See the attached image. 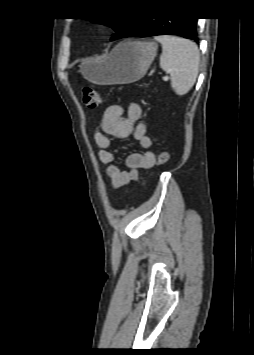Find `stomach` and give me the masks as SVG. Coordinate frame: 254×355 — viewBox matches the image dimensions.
<instances>
[{
    "instance_id": "0dacf381",
    "label": "stomach",
    "mask_w": 254,
    "mask_h": 355,
    "mask_svg": "<svg viewBox=\"0 0 254 355\" xmlns=\"http://www.w3.org/2000/svg\"><path fill=\"white\" fill-rule=\"evenodd\" d=\"M153 41L125 40L114 47L102 61L83 60L80 72L92 83L129 84L140 80L146 74L157 53Z\"/></svg>"
}]
</instances>
